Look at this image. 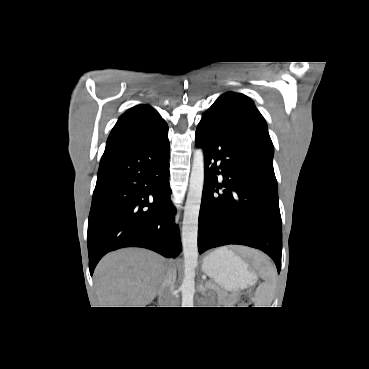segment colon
Instances as JSON below:
<instances>
[{
  "mask_svg": "<svg viewBox=\"0 0 369 369\" xmlns=\"http://www.w3.org/2000/svg\"><path fill=\"white\" fill-rule=\"evenodd\" d=\"M241 302L243 304H249L250 303V296L249 295H245L241 298Z\"/></svg>",
  "mask_w": 369,
  "mask_h": 369,
  "instance_id": "colon-1",
  "label": "colon"
}]
</instances>
